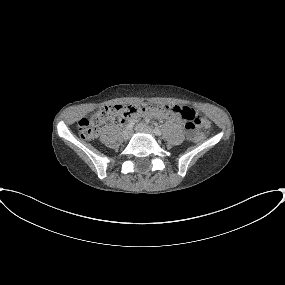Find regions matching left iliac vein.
I'll return each instance as SVG.
<instances>
[{
  "label": "left iliac vein",
  "instance_id": "1",
  "mask_svg": "<svg viewBox=\"0 0 285 285\" xmlns=\"http://www.w3.org/2000/svg\"><path fill=\"white\" fill-rule=\"evenodd\" d=\"M135 130L137 132H142V133H147V134L153 135V130L147 125H137L135 127Z\"/></svg>",
  "mask_w": 285,
  "mask_h": 285
}]
</instances>
